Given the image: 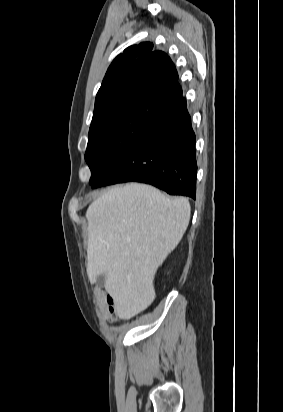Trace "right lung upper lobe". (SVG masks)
Returning <instances> with one entry per match:
<instances>
[{
  "label": "right lung upper lobe",
  "mask_w": 283,
  "mask_h": 412,
  "mask_svg": "<svg viewBox=\"0 0 283 412\" xmlns=\"http://www.w3.org/2000/svg\"><path fill=\"white\" fill-rule=\"evenodd\" d=\"M152 48L149 42L130 46L114 59L96 95L92 122L129 108L164 110L182 94L174 64Z\"/></svg>",
  "instance_id": "1"
}]
</instances>
